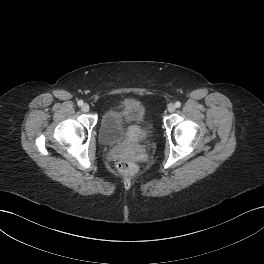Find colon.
Wrapping results in <instances>:
<instances>
[{
    "label": "colon",
    "mask_w": 264,
    "mask_h": 264,
    "mask_svg": "<svg viewBox=\"0 0 264 264\" xmlns=\"http://www.w3.org/2000/svg\"><path fill=\"white\" fill-rule=\"evenodd\" d=\"M117 168L120 173L125 176H134L137 173V167L134 163L128 160H121L117 164Z\"/></svg>",
    "instance_id": "5ec220e1"
}]
</instances>
